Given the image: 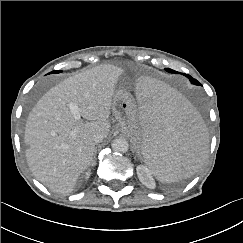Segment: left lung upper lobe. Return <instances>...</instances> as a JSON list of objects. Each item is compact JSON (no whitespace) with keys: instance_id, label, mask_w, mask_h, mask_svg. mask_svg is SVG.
Returning <instances> with one entry per match:
<instances>
[{"instance_id":"1","label":"left lung upper lobe","mask_w":243,"mask_h":243,"mask_svg":"<svg viewBox=\"0 0 243 243\" xmlns=\"http://www.w3.org/2000/svg\"><path fill=\"white\" fill-rule=\"evenodd\" d=\"M165 70L167 72H170V73H177L176 71H174V70H172L170 68H166ZM184 75L187 76L193 84H195V85H201L197 80L193 79L191 76L186 75V74H184Z\"/></svg>"}]
</instances>
